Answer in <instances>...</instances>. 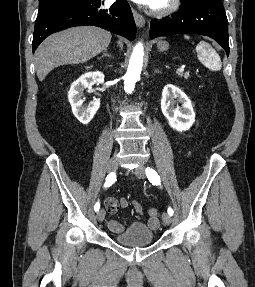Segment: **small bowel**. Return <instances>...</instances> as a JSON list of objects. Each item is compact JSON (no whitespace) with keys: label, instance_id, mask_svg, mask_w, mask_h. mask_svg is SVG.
<instances>
[{"label":"small bowel","instance_id":"1","mask_svg":"<svg viewBox=\"0 0 255 287\" xmlns=\"http://www.w3.org/2000/svg\"><path fill=\"white\" fill-rule=\"evenodd\" d=\"M119 207L120 208H127L128 207L127 199L121 198V199L117 200L115 198H109L106 201V208H107V211H108L110 216H112L117 211V209ZM133 208L135 209V211L137 213L143 212L142 206L136 201L133 202ZM148 226L151 227L152 229H157L159 227V219L154 218V217H150L148 220ZM108 227L114 233H119L123 230V225L113 218H111L108 221Z\"/></svg>","mask_w":255,"mask_h":287}]
</instances>
